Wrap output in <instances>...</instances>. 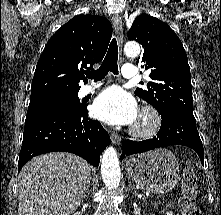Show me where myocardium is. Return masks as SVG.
I'll list each match as a JSON object with an SVG mask.
<instances>
[{
	"label": "myocardium",
	"instance_id": "obj_1",
	"mask_svg": "<svg viewBox=\"0 0 221 215\" xmlns=\"http://www.w3.org/2000/svg\"><path fill=\"white\" fill-rule=\"evenodd\" d=\"M141 123L134 124L130 134L136 138H149L155 135L162 124V118L156 108L151 105L144 106L139 114Z\"/></svg>",
	"mask_w": 221,
	"mask_h": 215
}]
</instances>
